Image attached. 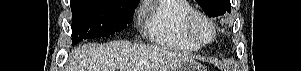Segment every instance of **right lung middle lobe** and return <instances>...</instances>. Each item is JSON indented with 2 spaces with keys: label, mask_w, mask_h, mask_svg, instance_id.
Segmentation results:
<instances>
[{
  "label": "right lung middle lobe",
  "mask_w": 301,
  "mask_h": 71,
  "mask_svg": "<svg viewBox=\"0 0 301 71\" xmlns=\"http://www.w3.org/2000/svg\"><path fill=\"white\" fill-rule=\"evenodd\" d=\"M139 0H70L72 41L121 32L131 22Z\"/></svg>",
  "instance_id": "obj_1"
}]
</instances>
